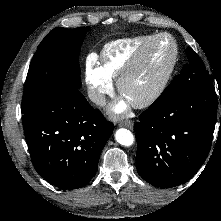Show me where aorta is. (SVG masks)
Listing matches in <instances>:
<instances>
[{"instance_id":"1","label":"aorta","mask_w":221,"mask_h":221,"mask_svg":"<svg viewBox=\"0 0 221 221\" xmlns=\"http://www.w3.org/2000/svg\"><path fill=\"white\" fill-rule=\"evenodd\" d=\"M115 139L119 144L124 146H131L134 142L133 134L125 128H121L116 131Z\"/></svg>"}]
</instances>
